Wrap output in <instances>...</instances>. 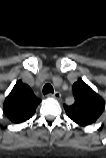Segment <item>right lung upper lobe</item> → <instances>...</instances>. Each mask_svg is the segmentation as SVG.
Masks as SVG:
<instances>
[{
	"instance_id": "1",
	"label": "right lung upper lobe",
	"mask_w": 106,
	"mask_h": 158,
	"mask_svg": "<svg viewBox=\"0 0 106 158\" xmlns=\"http://www.w3.org/2000/svg\"><path fill=\"white\" fill-rule=\"evenodd\" d=\"M41 102L31 88L21 80L17 81L3 103L5 116L13 123H22L30 119Z\"/></svg>"
}]
</instances>
